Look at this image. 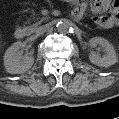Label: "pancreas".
I'll list each match as a JSON object with an SVG mask.
<instances>
[{
    "instance_id": "obj_1",
    "label": "pancreas",
    "mask_w": 119,
    "mask_h": 119,
    "mask_svg": "<svg viewBox=\"0 0 119 119\" xmlns=\"http://www.w3.org/2000/svg\"><path fill=\"white\" fill-rule=\"evenodd\" d=\"M44 20H45V18L40 19V21H38V22H36L35 24H33V25L27 27V29H28L30 32L35 31V29L37 28V26L40 25Z\"/></svg>"
}]
</instances>
